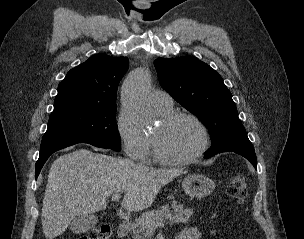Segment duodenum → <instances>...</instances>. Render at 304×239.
Here are the masks:
<instances>
[{
  "label": "duodenum",
  "instance_id": "duodenum-1",
  "mask_svg": "<svg viewBox=\"0 0 304 239\" xmlns=\"http://www.w3.org/2000/svg\"><path fill=\"white\" fill-rule=\"evenodd\" d=\"M131 230V223L129 221H123L119 224L117 229V235L119 237H125Z\"/></svg>",
  "mask_w": 304,
  "mask_h": 239
}]
</instances>
